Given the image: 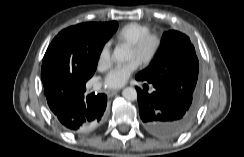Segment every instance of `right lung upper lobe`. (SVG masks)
I'll use <instances>...</instances> for the list:
<instances>
[{"mask_svg":"<svg viewBox=\"0 0 244 157\" xmlns=\"http://www.w3.org/2000/svg\"><path fill=\"white\" fill-rule=\"evenodd\" d=\"M88 24L93 26V27L101 28L102 30H105V29L110 28L113 25V22L88 23ZM80 64H81V62H80ZM73 76H74V82L71 83V84L83 85L84 81L86 80V82H87V80H88L86 72L79 65L76 66V68H75V70L73 72ZM42 82H43V85H44V88H45V94H49L50 92H53L56 89H61L62 88L61 84H58L57 86H55V85L50 84L46 80H43ZM71 84H69V85H71Z\"/></svg>","mask_w":244,"mask_h":157,"instance_id":"obj_1","label":"right lung upper lobe"}]
</instances>
